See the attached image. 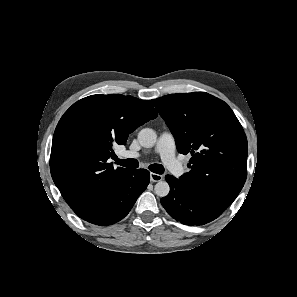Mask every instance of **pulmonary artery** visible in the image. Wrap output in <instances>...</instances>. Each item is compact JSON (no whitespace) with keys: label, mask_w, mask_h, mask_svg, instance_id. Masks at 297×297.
<instances>
[{"label":"pulmonary artery","mask_w":297,"mask_h":297,"mask_svg":"<svg viewBox=\"0 0 297 297\" xmlns=\"http://www.w3.org/2000/svg\"><path fill=\"white\" fill-rule=\"evenodd\" d=\"M175 139L169 132H163L158 140L156 152L160 155L166 167L177 177L184 174V167L176 159L175 156ZM127 158H138L139 153L128 151L125 153Z\"/></svg>","instance_id":"obj_1"}]
</instances>
